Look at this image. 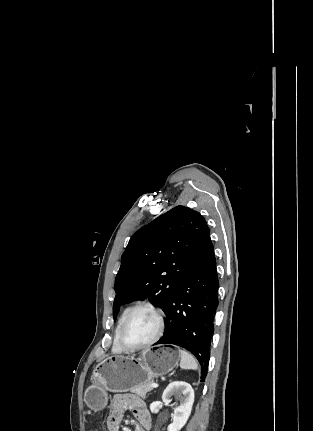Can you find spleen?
I'll return each instance as SVG.
<instances>
[{
  "label": "spleen",
  "mask_w": 313,
  "mask_h": 431,
  "mask_svg": "<svg viewBox=\"0 0 313 431\" xmlns=\"http://www.w3.org/2000/svg\"><path fill=\"white\" fill-rule=\"evenodd\" d=\"M180 367L184 370H197L198 363L196 359L187 351L180 350Z\"/></svg>",
  "instance_id": "obj_1"
}]
</instances>
